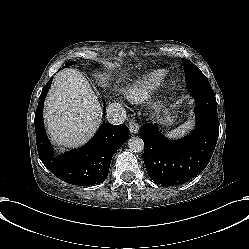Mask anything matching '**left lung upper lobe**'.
<instances>
[{
  "mask_svg": "<svg viewBox=\"0 0 249 249\" xmlns=\"http://www.w3.org/2000/svg\"><path fill=\"white\" fill-rule=\"evenodd\" d=\"M184 64L185 79L188 90L204 88L212 90L210 83L201 70L192 62L182 58Z\"/></svg>",
  "mask_w": 249,
  "mask_h": 249,
  "instance_id": "1",
  "label": "left lung upper lobe"
}]
</instances>
